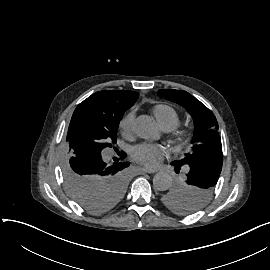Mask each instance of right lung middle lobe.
Segmentation results:
<instances>
[{
    "mask_svg": "<svg viewBox=\"0 0 270 270\" xmlns=\"http://www.w3.org/2000/svg\"><path fill=\"white\" fill-rule=\"evenodd\" d=\"M119 121L101 111L88 97L74 110L60 146L64 185L85 213L104 214L126 195L125 175L117 174L125 167H106L101 158V151L111 147L117 156L113 157V165L121 167L118 163L126 157L125 152L113 146Z\"/></svg>",
    "mask_w": 270,
    "mask_h": 270,
    "instance_id": "1",
    "label": "right lung middle lobe"
}]
</instances>
